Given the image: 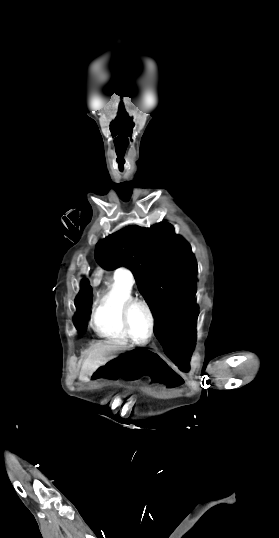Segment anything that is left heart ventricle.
Segmentation results:
<instances>
[{
	"mask_svg": "<svg viewBox=\"0 0 279 538\" xmlns=\"http://www.w3.org/2000/svg\"><path fill=\"white\" fill-rule=\"evenodd\" d=\"M117 207H101L100 209L109 211ZM104 225L107 226V220L104 219ZM130 328L133 336L139 340L147 339L150 331L149 319L145 310L141 307H134L129 316Z\"/></svg>",
	"mask_w": 279,
	"mask_h": 538,
	"instance_id": "b2bd125f",
	"label": "left heart ventricle"
}]
</instances>
